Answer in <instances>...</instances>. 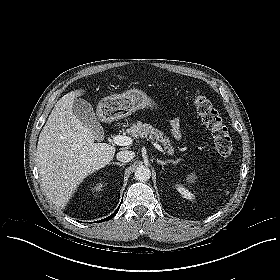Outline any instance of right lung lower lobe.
<instances>
[{
  "label": "right lung lower lobe",
  "instance_id": "right-lung-lower-lobe-1",
  "mask_svg": "<svg viewBox=\"0 0 280 280\" xmlns=\"http://www.w3.org/2000/svg\"><path fill=\"white\" fill-rule=\"evenodd\" d=\"M119 207H120V206H119ZM118 210H119V208H118L111 216H109V217H107V218H105V219H103V220H101V221L110 220L111 218H113V217L117 214Z\"/></svg>",
  "mask_w": 280,
  "mask_h": 280
}]
</instances>
